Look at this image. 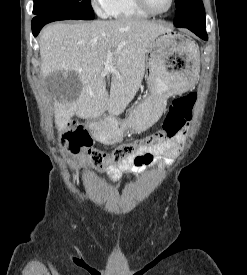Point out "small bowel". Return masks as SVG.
I'll use <instances>...</instances> for the list:
<instances>
[{"instance_id": "small-bowel-1", "label": "small bowel", "mask_w": 247, "mask_h": 275, "mask_svg": "<svg viewBox=\"0 0 247 275\" xmlns=\"http://www.w3.org/2000/svg\"><path fill=\"white\" fill-rule=\"evenodd\" d=\"M184 137L185 131H182L173 139L166 140L160 144L150 147L142 148L137 154L139 160L133 157L119 163L110 162L106 172L113 182H117L125 173H143L147 167L154 162L168 164L170 161L169 158L178 151ZM162 155H164V157H162ZM69 157L72 166L78 165L84 159L82 155L75 157L69 154ZM80 172H82V169Z\"/></svg>"}]
</instances>
